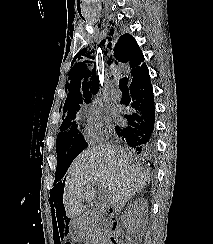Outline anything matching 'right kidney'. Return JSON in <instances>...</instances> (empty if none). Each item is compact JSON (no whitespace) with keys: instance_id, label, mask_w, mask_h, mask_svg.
<instances>
[{"instance_id":"1","label":"right kidney","mask_w":213,"mask_h":244,"mask_svg":"<svg viewBox=\"0 0 213 244\" xmlns=\"http://www.w3.org/2000/svg\"><path fill=\"white\" fill-rule=\"evenodd\" d=\"M147 200L141 197L138 200H135L133 204L129 206L126 213L123 215L122 222L125 224V226H133L138 223H140V219L135 220V217L138 215L139 210H143L147 207ZM134 210V213L132 212Z\"/></svg>"}]
</instances>
